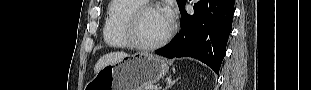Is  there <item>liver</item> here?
Returning <instances> with one entry per match:
<instances>
[{
  "mask_svg": "<svg viewBox=\"0 0 311 90\" xmlns=\"http://www.w3.org/2000/svg\"><path fill=\"white\" fill-rule=\"evenodd\" d=\"M128 54L125 52H111L99 58L97 61L94 72L97 74L99 70L107 65H114L120 62L123 58L127 57Z\"/></svg>",
  "mask_w": 311,
  "mask_h": 90,
  "instance_id": "6515ba94",
  "label": "liver"
}]
</instances>
